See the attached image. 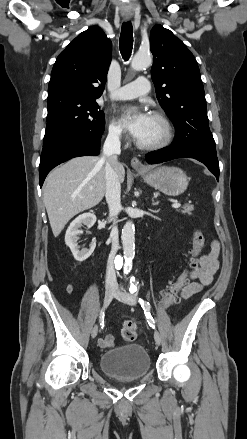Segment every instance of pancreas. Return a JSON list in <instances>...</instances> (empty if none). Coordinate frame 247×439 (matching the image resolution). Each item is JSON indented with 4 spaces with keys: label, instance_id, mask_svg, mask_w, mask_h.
I'll return each instance as SVG.
<instances>
[{
    "label": "pancreas",
    "instance_id": "obj_1",
    "mask_svg": "<svg viewBox=\"0 0 247 439\" xmlns=\"http://www.w3.org/2000/svg\"><path fill=\"white\" fill-rule=\"evenodd\" d=\"M193 210H194L193 205L186 204L183 206L181 213L191 215Z\"/></svg>",
    "mask_w": 247,
    "mask_h": 439
}]
</instances>
